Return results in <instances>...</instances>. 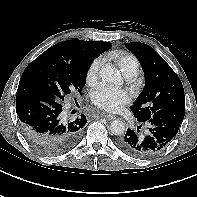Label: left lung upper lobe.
I'll return each instance as SVG.
<instances>
[{"label": "left lung upper lobe", "mask_w": 197, "mask_h": 197, "mask_svg": "<svg viewBox=\"0 0 197 197\" xmlns=\"http://www.w3.org/2000/svg\"><path fill=\"white\" fill-rule=\"evenodd\" d=\"M125 46L139 60L145 77L143 91L130 106L137 121H147L164 107L185 105L184 89L178 75L151 46L140 42Z\"/></svg>", "instance_id": "1"}]
</instances>
